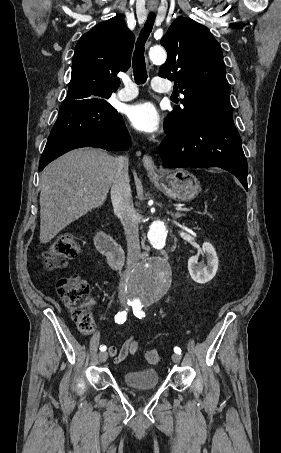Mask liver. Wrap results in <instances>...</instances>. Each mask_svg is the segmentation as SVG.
<instances>
[{
    "label": "liver",
    "mask_w": 281,
    "mask_h": 453,
    "mask_svg": "<svg viewBox=\"0 0 281 453\" xmlns=\"http://www.w3.org/2000/svg\"><path fill=\"white\" fill-rule=\"evenodd\" d=\"M117 160L103 148H75L41 174L40 243H50L67 224L105 202Z\"/></svg>",
    "instance_id": "liver-1"
}]
</instances>
